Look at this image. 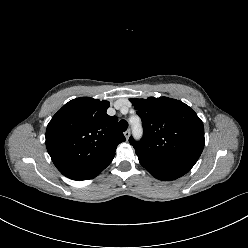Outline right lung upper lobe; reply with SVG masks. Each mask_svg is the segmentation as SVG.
Masks as SVG:
<instances>
[{
	"mask_svg": "<svg viewBox=\"0 0 248 248\" xmlns=\"http://www.w3.org/2000/svg\"><path fill=\"white\" fill-rule=\"evenodd\" d=\"M108 101L90 97L66 103L46 129L47 151L61 173L91 171L110 164L117 145L126 139Z\"/></svg>",
	"mask_w": 248,
	"mask_h": 248,
	"instance_id": "1",
	"label": "right lung upper lobe"
}]
</instances>
